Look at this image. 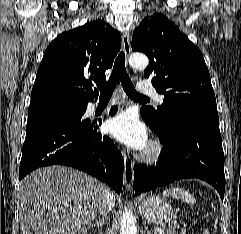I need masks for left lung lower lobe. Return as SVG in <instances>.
Instances as JSON below:
<instances>
[{
	"label": "left lung lower lobe",
	"mask_w": 241,
	"mask_h": 234,
	"mask_svg": "<svg viewBox=\"0 0 241 234\" xmlns=\"http://www.w3.org/2000/svg\"><path fill=\"white\" fill-rule=\"evenodd\" d=\"M157 136L163 148L156 165L134 166L133 188L136 195L179 179L199 178L214 186L223 199L224 153L219 122L173 118L168 122L165 135Z\"/></svg>",
	"instance_id": "0a47b994"
}]
</instances>
